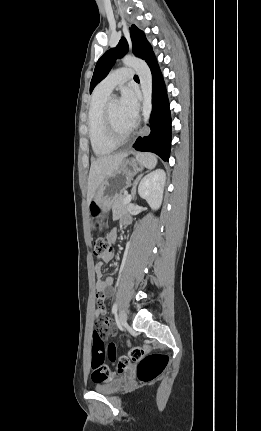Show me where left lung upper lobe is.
<instances>
[{
  "mask_svg": "<svg viewBox=\"0 0 261 431\" xmlns=\"http://www.w3.org/2000/svg\"><path fill=\"white\" fill-rule=\"evenodd\" d=\"M130 36L132 41V51L133 53L143 60H147L148 57L153 53L152 47L146 40L144 32L138 29L135 25L130 27ZM128 52V42L123 37L119 41L115 48L106 51L102 57L98 60L93 77L90 83V93L93 91L94 87L103 80L111 70L118 57L124 56Z\"/></svg>",
  "mask_w": 261,
  "mask_h": 431,
  "instance_id": "left-lung-upper-lobe-1",
  "label": "left lung upper lobe"
}]
</instances>
